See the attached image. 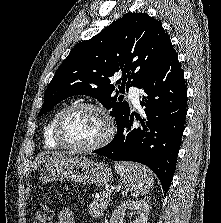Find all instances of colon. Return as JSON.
<instances>
[{"label": "colon", "instance_id": "obj_1", "mask_svg": "<svg viewBox=\"0 0 221 223\" xmlns=\"http://www.w3.org/2000/svg\"><path fill=\"white\" fill-rule=\"evenodd\" d=\"M54 211L51 205L45 201L39 202L36 205L33 223H52Z\"/></svg>", "mask_w": 221, "mask_h": 223}]
</instances>
